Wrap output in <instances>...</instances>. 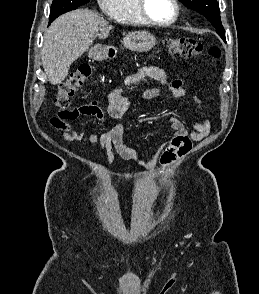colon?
Wrapping results in <instances>:
<instances>
[{"label": "colon", "instance_id": "colon-1", "mask_svg": "<svg viewBox=\"0 0 259 294\" xmlns=\"http://www.w3.org/2000/svg\"><path fill=\"white\" fill-rule=\"evenodd\" d=\"M165 44L172 54L183 58H192L203 51V44L200 41L187 37L169 38ZM209 54L217 60L220 57V50L218 47L212 46L209 49ZM90 76L91 68L88 65H82L61 83L55 99L60 114L65 117H70L73 114L74 108L71 98Z\"/></svg>", "mask_w": 259, "mask_h": 294}]
</instances>
